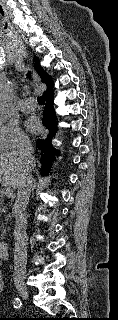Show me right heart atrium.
I'll use <instances>...</instances> for the list:
<instances>
[{"label":"right heart atrium","mask_w":118,"mask_h":320,"mask_svg":"<svg viewBox=\"0 0 118 320\" xmlns=\"http://www.w3.org/2000/svg\"><path fill=\"white\" fill-rule=\"evenodd\" d=\"M28 143L27 135L14 123L0 122V152Z\"/></svg>","instance_id":"obj_1"}]
</instances>
